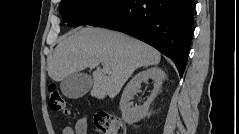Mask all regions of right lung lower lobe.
Masks as SVG:
<instances>
[{
	"label": "right lung lower lobe",
	"instance_id": "1",
	"mask_svg": "<svg viewBox=\"0 0 239 134\" xmlns=\"http://www.w3.org/2000/svg\"><path fill=\"white\" fill-rule=\"evenodd\" d=\"M194 0H117L85 24L126 33L172 59L182 77L194 27Z\"/></svg>",
	"mask_w": 239,
	"mask_h": 134
}]
</instances>
